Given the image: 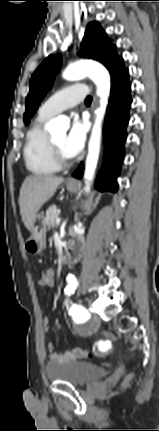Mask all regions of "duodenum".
<instances>
[{
  "mask_svg": "<svg viewBox=\"0 0 159 431\" xmlns=\"http://www.w3.org/2000/svg\"><path fill=\"white\" fill-rule=\"evenodd\" d=\"M84 250V243L81 237L71 234L67 243L65 253L62 257L63 264H72L77 261Z\"/></svg>",
  "mask_w": 159,
  "mask_h": 431,
  "instance_id": "410a0bca",
  "label": "duodenum"
}]
</instances>
